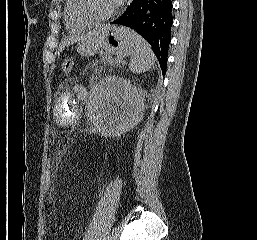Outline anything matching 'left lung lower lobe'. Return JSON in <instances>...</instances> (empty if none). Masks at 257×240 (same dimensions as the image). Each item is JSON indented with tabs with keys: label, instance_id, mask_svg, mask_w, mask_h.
I'll use <instances>...</instances> for the list:
<instances>
[{
	"label": "left lung lower lobe",
	"instance_id": "1",
	"mask_svg": "<svg viewBox=\"0 0 257 240\" xmlns=\"http://www.w3.org/2000/svg\"><path fill=\"white\" fill-rule=\"evenodd\" d=\"M171 0H133L112 24L129 27L152 46L163 75L166 73L168 47L171 41Z\"/></svg>",
	"mask_w": 257,
	"mask_h": 240
}]
</instances>
